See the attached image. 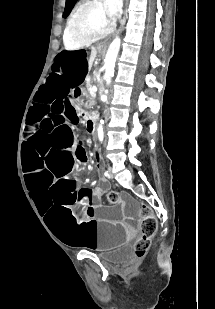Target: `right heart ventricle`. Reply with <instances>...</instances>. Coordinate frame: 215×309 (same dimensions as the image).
<instances>
[{"label":"right heart ventricle","instance_id":"1","mask_svg":"<svg viewBox=\"0 0 215 309\" xmlns=\"http://www.w3.org/2000/svg\"><path fill=\"white\" fill-rule=\"evenodd\" d=\"M74 11H75V10H73V11L71 12V14L69 15V17H68V19H67V23H68L69 19L71 18V16H72V14H73ZM67 23H66V25H67ZM63 44H64L65 48H76V47L74 46L73 42L71 41L70 36L66 33L65 30H64V32H63Z\"/></svg>","mask_w":215,"mask_h":309}]
</instances>
